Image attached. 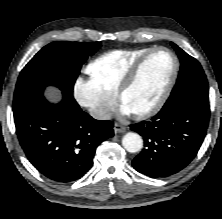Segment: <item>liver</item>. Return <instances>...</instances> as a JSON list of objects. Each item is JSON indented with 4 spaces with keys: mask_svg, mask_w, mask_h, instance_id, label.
<instances>
[{
    "mask_svg": "<svg viewBox=\"0 0 222 219\" xmlns=\"http://www.w3.org/2000/svg\"><path fill=\"white\" fill-rule=\"evenodd\" d=\"M48 94H49V97L52 98V99H56L57 98L55 91L51 90V91H49Z\"/></svg>",
    "mask_w": 222,
    "mask_h": 219,
    "instance_id": "obj_1",
    "label": "liver"
}]
</instances>
